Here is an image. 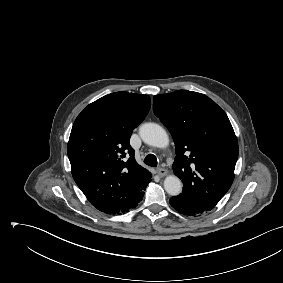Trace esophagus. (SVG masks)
<instances>
[{"mask_svg":"<svg viewBox=\"0 0 283 283\" xmlns=\"http://www.w3.org/2000/svg\"><path fill=\"white\" fill-rule=\"evenodd\" d=\"M157 173H158L159 176L164 177V176L167 175V170L164 169V168H158Z\"/></svg>","mask_w":283,"mask_h":283,"instance_id":"obj_1","label":"esophagus"}]
</instances>
